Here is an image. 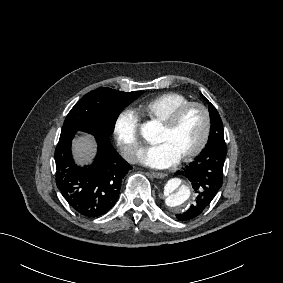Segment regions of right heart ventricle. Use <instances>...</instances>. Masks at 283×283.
<instances>
[{"instance_id":"e07e8e85","label":"right heart ventricle","mask_w":283,"mask_h":283,"mask_svg":"<svg viewBox=\"0 0 283 283\" xmlns=\"http://www.w3.org/2000/svg\"><path fill=\"white\" fill-rule=\"evenodd\" d=\"M190 98L178 92H167L134 105L137 118L161 122L167 114L179 106L190 102Z\"/></svg>"}]
</instances>
